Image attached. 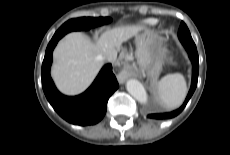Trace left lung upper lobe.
Wrapping results in <instances>:
<instances>
[{
  "instance_id": "left-lung-upper-lobe-1",
  "label": "left lung upper lobe",
  "mask_w": 230,
  "mask_h": 155,
  "mask_svg": "<svg viewBox=\"0 0 230 155\" xmlns=\"http://www.w3.org/2000/svg\"><path fill=\"white\" fill-rule=\"evenodd\" d=\"M178 38L180 42L182 43V45L184 42H194L189 32V29L187 28L184 22H181V25L179 27Z\"/></svg>"
}]
</instances>
